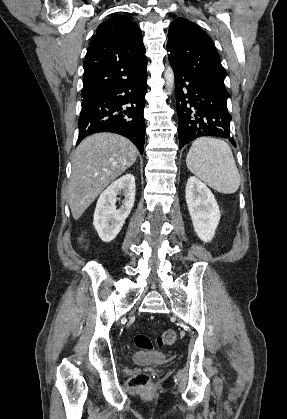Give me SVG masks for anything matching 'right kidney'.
Instances as JSON below:
<instances>
[{"mask_svg":"<svg viewBox=\"0 0 287 419\" xmlns=\"http://www.w3.org/2000/svg\"><path fill=\"white\" fill-rule=\"evenodd\" d=\"M125 197L121 207L116 208L119 192ZM135 201V177L126 174L113 182L99 197L94 212V227L100 239L110 242L118 235Z\"/></svg>","mask_w":287,"mask_h":419,"instance_id":"right-kidney-1","label":"right kidney"}]
</instances>
